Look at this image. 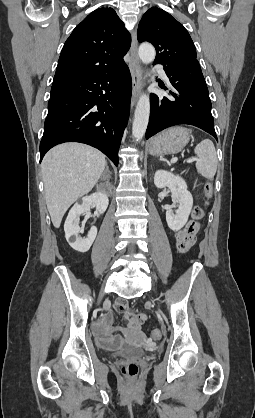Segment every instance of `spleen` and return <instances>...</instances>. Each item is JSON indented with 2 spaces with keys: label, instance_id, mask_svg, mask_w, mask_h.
Masks as SVG:
<instances>
[{
  "label": "spleen",
  "instance_id": "obj_1",
  "mask_svg": "<svg viewBox=\"0 0 255 418\" xmlns=\"http://www.w3.org/2000/svg\"><path fill=\"white\" fill-rule=\"evenodd\" d=\"M194 152L197 155L196 168L199 174L207 179L213 178L218 164L213 142L210 139L202 140L196 145Z\"/></svg>",
  "mask_w": 255,
  "mask_h": 418
}]
</instances>
